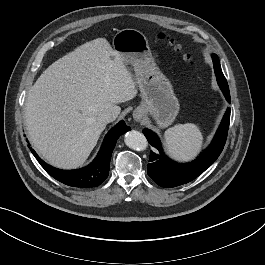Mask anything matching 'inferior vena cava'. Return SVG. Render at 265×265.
<instances>
[{
    "label": "inferior vena cava",
    "instance_id": "obj_1",
    "mask_svg": "<svg viewBox=\"0 0 265 265\" xmlns=\"http://www.w3.org/2000/svg\"><path fill=\"white\" fill-rule=\"evenodd\" d=\"M115 119H116V116L109 111H103L98 116V120H100L101 122H104L106 124L114 121Z\"/></svg>",
    "mask_w": 265,
    "mask_h": 265
}]
</instances>
